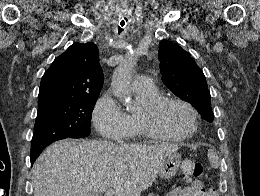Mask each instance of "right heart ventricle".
Wrapping results in <instances>:
<instances>
[{"instance_id":"right-heart-ventricle-1","label":"right heart ventricle","mask_w":260,"mask_h":196,"mask_svg":"<svg viewBox=\"0 0 260 196\" xmlns=\"http://www.w3.org/2000/svg\"><path fill=\"white\" fill-rule=\"evenodd\" d=\"M137 98L142 102L143 106L145 104L151 103L159 98L162 97L161 93L158 91L157 88L150 86L147 89L139 90L133 88ZM138 113L139 112H132L129 115V120H130V128L131 129H136V130H141V127L138 122ZM149 136V135H147ZM151 137V136H149ZM139 140V138H131L128 140V143H135Z\"/></svg>"}]
</instances>
